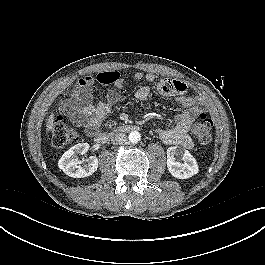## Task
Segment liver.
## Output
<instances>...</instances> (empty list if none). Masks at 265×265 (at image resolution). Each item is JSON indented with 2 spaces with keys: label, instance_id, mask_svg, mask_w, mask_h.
<instances>
[{
  "label": "liver",
  "instance_id": "liver-1",
  "mask_svg": "<svg viewBox=\"0 0 265 265\" xmlns=\"http://www.w3.org/2000/svg\"><path fill=\"white\" fill-rule=\"evenodd\" d=\"M53 121H54V114L51 113L49 118H48L47 124H46V131L47 132H49L53 129Z\"/></svg>",
  "mask_w": 265,
  "mask_h": 265
}]
</instances>
